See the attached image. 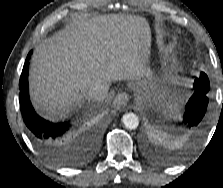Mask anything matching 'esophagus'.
<instances>
[{"label": "esophagus", "instance_id": "34e87169", "mask_svg": "<svg viewBox=\"0 0 223 188\" xmlns=\"http://www.w3.org/2000/svg\"><path fill=\"white\" fill-rule=\"evenodd\" d=\"M128 101L129 95L126 92H121L113 99L112 107L116 110H122L126 107Z\"/></svg>", "mask_w": 223, "mask_h": 188}]
</instances>
